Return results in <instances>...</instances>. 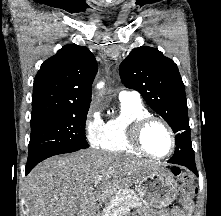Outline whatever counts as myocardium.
Here are the masks:
<instances>
[{"mask_svg": "<svg viewBox=\"0 0 221 216\" xmlns=\"http://www.w3.org/2000/svg\"><path fill=\"white\" fill-rule=\"evenodd\" d=\"M154 123H159L161 124L168 132L171 140V148L169 152L165 155H156L151 153L145 146L144 143V134L147 128L154 124ZM129 141L131 145L140 153H142L145 156L154 158V159H166L170 156L173 155L175 149H176V136L175 133L170 126V124L164 120L163 118L149 115L146 116L138 121H136L132 127L130 128L129 131Z\"/></svg>", "mask_w": 221, "mask_h": 216, "instance_id": "myocardium-1", "label": "myocardium"}]
</instances>
